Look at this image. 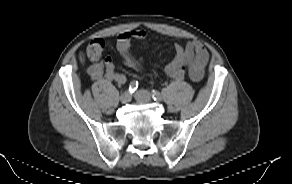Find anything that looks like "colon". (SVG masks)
<instances>
[{
	"label": "colon",
	"mask_w": 292,
	"mask_h": 184,
	"mask_svg": "<svg viewBox=\"0 0 292 184\" xmlns=\"http://www.w3.org/2000/svg\"><path fill=\"white\" fill-rule=\"evenodd\" d=\"M105 48V41L101 38L92 40L86 49V56L92 60L96 61L100 58ZM188 65L186 63L180 64V68L185 72Z\"/></svg>",
	"instance_id": "5ec220e1"
}]
</instances>
